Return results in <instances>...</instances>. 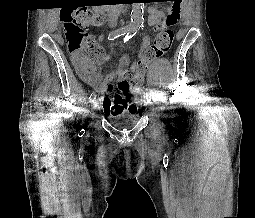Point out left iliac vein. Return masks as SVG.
<instances>
[{
  "mask_svg": "<svg viewBox=\"0 0 255 218\" xmlns=\"http://www.w3.org/2000/svg\"><path fill=\"white\" fill-rule=\"evenodd\" d=\"M145 102H146V104L149 106L150 110H151V111H154V108H153V106H152V102L148 101V99H146V98H145Z\"/></svg>",
  "mask_w": 255,
  "mask_h": 218,
  "instance_id": "4c4485c4",
  "label": "left iliac vein"
}]
</instances>
